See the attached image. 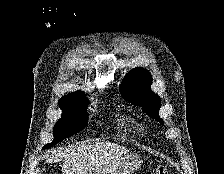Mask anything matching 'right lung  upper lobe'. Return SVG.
I'll list each match as a JSON object with an SVG mask.
<instances>
[{"label":"right lung upper lobe","instance_id":"1","mask_svg":"<svg viewBox=\"0 0 224 174\" xmlns=\"http://www.w3.org/2000/svg\"><path fill=\"white\" fill-rule=\"evenodd\" d=\"M84 101H87L85 93H83L82 91H77L72 94L64 95L59 100V105H73Z\"/></svg>","mask_w":224,"mask_h":174}]
</instances>
